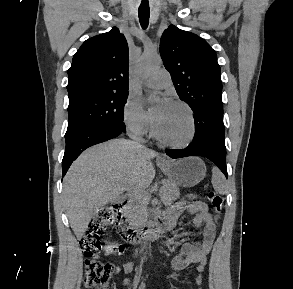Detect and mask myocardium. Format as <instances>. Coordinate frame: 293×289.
<instances>
[{
	"label": "myocardium",
	"instance_id": "1",
	"mask_svg": "<svg viewBox=\"0 0 293 289\" xmlns=\"http://www.w3.org/2000/svg\"><path fill=\"white\" fill-rule=\"evenodd\" d=\"M172 104L181 106L187 111L189 116V121H190V130H189L188 136L181 142H171L159 136V134L157 133L155 129V125H152L151 135L156 141H158L160 144L164 146L174 148V149H184V148H187L193 142L196 136V120H195L194 112L192 108L184 101L175 100L172 102Z\"/></svg>",
	"mask_w": 293,
	"mask_h": 289
}]
</instances>
